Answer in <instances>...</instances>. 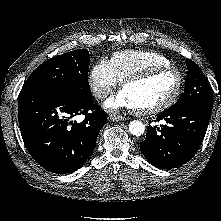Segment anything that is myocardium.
<instances>
[{
	"label": "myocardium",
	"instance_id": "f54148a6",
	"mask_svg": "<svg viewBox=\"0 0 221 221\" xmlns=\"http://www.w3.org/2000/svg\"><path fill=\"white\" fill-rule=\"evenodd\" d=\"M172 72L175 73L177 76V87L174 91V93L164 102L150 107L146 109H136V112L140 115H152L157 114L160 112H163L170 108L173 104L176 103L178 98L180 97L183 87H184V76L182 72L173 66H160V67H153L144 71H141L139 73L133 74L131 76H128L121 82V90H123L126 86L133 84V83H139L146 80H149L157 75H160L162 73Z\"/></svg>",
	"mask_w": 221,
	"mask_h": 221
}]
</instances>
